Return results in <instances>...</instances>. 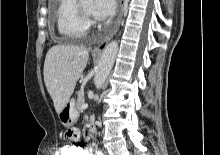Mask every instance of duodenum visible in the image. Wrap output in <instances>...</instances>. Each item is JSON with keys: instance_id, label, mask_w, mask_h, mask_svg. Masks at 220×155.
Instances as JSON below:
<instances>
[{"instance_id": "1", "label": "duodenum", "mask_w": 220, "mask_h": 155, "mask_svg": "<svg viewBox=\"0 0 220 155\" xmlns=\"http://www.w3.org/2000/svg\"><path fill=\"white\" fill-rule=\"evenodd\" d=\"M95 133H96V129L93 125H91L89 128V137L93 138L95 136Z\"/></svg>"}]
</instances>
